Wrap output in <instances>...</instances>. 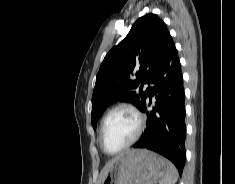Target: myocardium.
Returning a JSON list of instances; mask_svg holds the SVG:
<instances>
[{
  "label": "myocardium",
  "mask_w": 235,
  "mask_h": 184,
  "mask_svg": "<svg viewBox=\"0 0 235 184\" xmlns=\"http://www.w3.org/2000/svg\"><path fill=\"white\" fill-rule=\"evenodd\" d=\"M121 109H126V110H129L130 112H132L136 119H137V130H136V133L135 135L133 136V138L126 144L124 145L122 148H120L119 150H116V151H113V152H110L108 151L104 145H103V142H102V138H103V133L106 129V126L109 122V119L110 117L112 116L113 113H115L116 111L118 110H121ZM144 124H145V118H144V115L140 112V110L135 107L134 105L130 104V103H120V104H117L115 106H113L107 113L106 115L104 116L103 118V121H102V124H101V127H100V130H99V135H98V144H99V147L101 148V150L109 155V156H117L121 153H123L125 150H127L128 148H130L134 143H136V141L140 138L142 132H143V129H144Z\"/></svg>",
  "instance_id": "f54148a6"
}]
</instances>
